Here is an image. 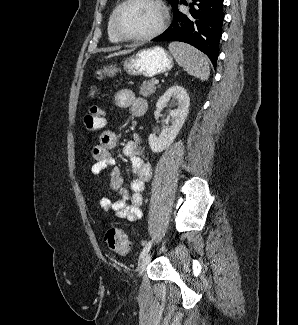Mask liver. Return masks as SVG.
Returning <instances> with one entry per match:
<instances>
[{"label": "liver", "instance_id": "6515ba94", "mask_svg": "<svg viewBox=\"0 0 298 325\" xmlns=\"http://www.w3.org/2000/svg\"><path fill=\"white\" fill-rule=\"evenodd\" d=\"M131 50H117V52H110L108 56H104V58H111V56H120V54H128Z\"/></svg>", "mask_w": 298, "mask_h": 325}]
</instances>
